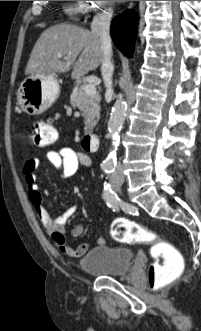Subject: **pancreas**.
<instances>
[{
  "label": "pancreas",
  "instance_id": "pancreas-1",
  "mask_svg": "<svg viewBox=\"0 0 201 331\" xmlns=\"http://www.w3.org/2000/svg\"><path fill=\"white\" fill-rule=\"evenodd\" d=\"M70 101L82 112L85 131H91L100 118L99 94L88 95L84 91V86H81L73 90Z\"/></svg>",
  "mask_w": 201,
  "mask_h": 331
}]
</instances>
